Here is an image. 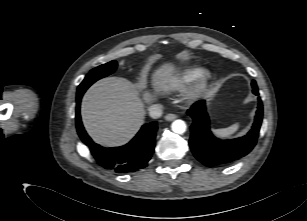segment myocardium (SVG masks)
Masks as SVG:
<instances>
[{"mask_svg": "<svg viewBox=\"0 0 307 221\" xmlns=\"http://www.w3.org/2000/svg\"><path fill=\"white\" fill-rule=\"evenodd\" d=\"M211 79V75L208 72L203 73L197 79L192 91L190 92V99L198 97L208 86Z\"/></svg>", "mask_w": 307, "mask_h": 221, "instance_id": "f54148a6", "label": "myocardium"}]
</instances>
